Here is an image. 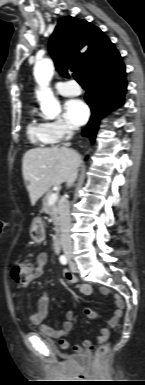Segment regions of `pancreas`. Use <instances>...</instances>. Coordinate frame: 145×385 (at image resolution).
<instances>
[{
  "mask_svg": "<svg viewBox=\"0 0 145 385\" xmlns=\"http://www.w3.org/2000/svg\"><path fill=\"white\" fill-rule=\"evenodd\" d=\"M52 194V191H49L45 197L43 198V209L42 211L45 213V214H48L52 220H53V223H54V230L56 232V236L58 235L59 233V217H58V206L55 203H53L52 205H49L48 204V199H49V196Z\"/></svg>",
  "mask_w": 145,
  "mask_h": 385,
  "instance_id": "obj_1",
  "label": "pancreas"
}]
</instances>
